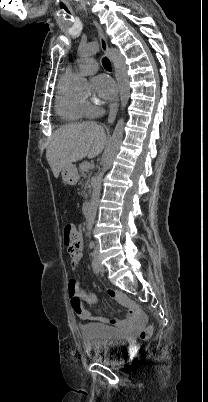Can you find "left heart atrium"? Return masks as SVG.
<instances>
[{"mask_svg": "<svg viewBox=\"0 0 208 402\" xmlns=\"http://www.w3.org/2000/svg\"><path fill=\"white\" fill-rule=\"evenodd\" d=\"M94 84L99 91L100 98L110 101L116 96L115 82L106 74L97 75L94 79Z\"/></svg>", "mask_w": 208, "mask_h": 402, "instance_id": "left-heart-atrium-1", "label": "left heart atrium"}]
</instances>
